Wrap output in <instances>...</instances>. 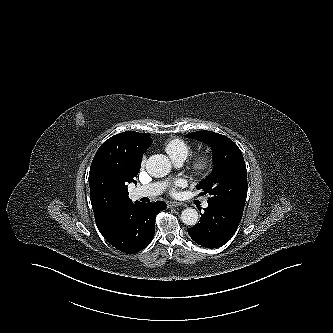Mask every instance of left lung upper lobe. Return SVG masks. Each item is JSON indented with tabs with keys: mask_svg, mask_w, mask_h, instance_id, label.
I'll return each mask as SVG.
<instances>
[{
	"mask_svg": "<svg viewBox=\"0 0 333 333\" xmlns=\"http://www.w3.org/2000/svg\"><path fill=\"white\" fill-rule=\"evenodd\" d=\"M186 136L207 143L213 151V171L197 185V189L210 195L208 201L243 213L247 172L238 146L228 137L211 131H197Z\"/></svg>",
	"mask_w": 333,
	"mask_h": 333,
	"instance_id": "1",
	"label": "left lung upper lobe"
}]
</instances>
